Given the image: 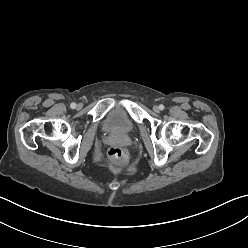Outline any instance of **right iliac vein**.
Listing matches in <instances>:
<instances>
[{"instance_id": "1", "label": "right iliac vein", "mask_w": 248, "mask_h": 248, "mask_svg": "<svg viewBox=\"0 0 248 248\" xmlns=\"http://www.w3.org/2000/svg\"><path fill=\"white\" fill-rule=\"evenodd\" d=\"M77 108H81V104H78V105H77Z\"/></svg>"}]
</instances>
